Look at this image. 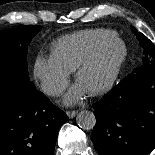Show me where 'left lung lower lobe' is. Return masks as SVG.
<instances>
[{
  "mask_svg": "<svg viewBox=\"0 0 155 155\" xmlns=\"http://www.w3.org/2000/svg\"><path fill=\"white\" fill-rule=\"evenodd\" d=\"M100 155H147L155 147V67L125 77L93 105Z\"/></svg>",
  "mask_w": 155,
  "mask_h": 155,
  "instance_id": "obj_1",
  "label": "left lung lower lobe"
}]
</instances>
